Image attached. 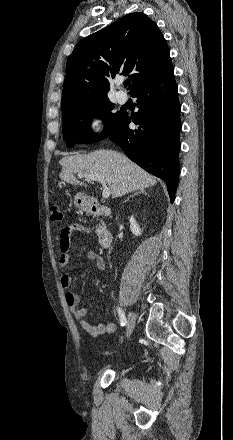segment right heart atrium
Returning a JSON list of instances; mask_svg holds the SVG:
<instances>
[{"label": "right heart atrium", "mask_w": 233, "mask_h": 440, "mask_svg": "<svg viewBox=\"0 0 233 440\" xmlns=\"http://www.w3.org/2000/svg\"><path fill=\"white\" fill-rule=\"evenodd\" d=\"M85 125L90 135H99L103 130L102 115L97 111L91 112L85 119Z\"/></svg>", "instance_id": "d8ad5b80"}]
</instances>
